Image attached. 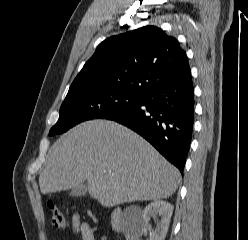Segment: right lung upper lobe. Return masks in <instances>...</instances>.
Listing matches in <instances>:
<instances>
[{
	"label": "right lung upper lobe",
	"mask_w": 248,
	"mask_h": 240,
	"mask_svg": "<svg viewBox=\"0 0 248 240\" xmlns=\"http://www.w3.org/2000/svg\"><path fill=\"white\" fill-rule=\"evenodd\" d=\"M190 73L187 55L179 42L158 27L146 26L99 44L69 91L111 88L145 95Z\"/></svg>",
	"instance_id": "1"
}]
</instances>
